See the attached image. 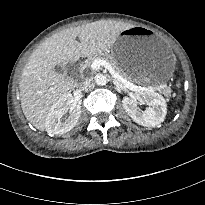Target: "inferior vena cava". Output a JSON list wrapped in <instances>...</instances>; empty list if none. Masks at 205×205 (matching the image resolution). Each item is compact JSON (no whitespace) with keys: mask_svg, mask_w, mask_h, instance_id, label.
Masks as SVG:
<instances>
[{"mask_svg":"<svg viewBox=\"0 0 205 205\" xmlns=\"http://www.w3.org/2000/svg\"><path fill=\"white\" fill-rule=\"evenodd\" d=\"M93 84L92 78H86L80 88L81 90H88L93 86Z\"/></svg>","mask_w":205,"mask_h":205,"instance_id":"1","label":"inferior vena cava"}]
</instances>
